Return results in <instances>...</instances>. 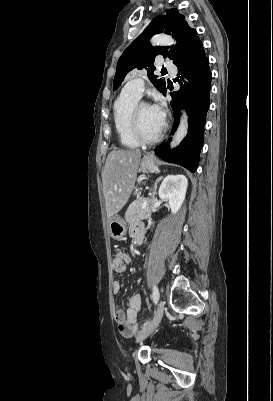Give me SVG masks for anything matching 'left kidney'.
I'll use <instances>...</instances> for the list:
<instances>
[{
    "instance_id": "1",
    "label": "left kidney",
    "mask_w": 273,
    "mask_h": 401,
    "mask_svg": "<svg viewBox=\"0 0 273 401\" xmlns=\"http://www.w3.org/2000/svg\"><path fill=\"white\" fill-rule=\"evenodd\" d=\"M188 180L184 174H168L165 176L160 188V198H168L171 213H178L185 201Z\"/></svg>"
}]
</instances>
